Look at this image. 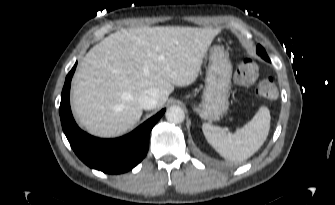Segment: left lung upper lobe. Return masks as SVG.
I'll list each match as a JSON object with an SVG mask.
<instances>
[{
  "instance_id": "left-lung-upper-lobe-1",
  "label": "left lung upper lobe",
  "mask_w": 335,
  "mask_h": 205,
  "mask_svg": "<svg viewBox=\"0 0 335 205\" xmlns=\"http://www.w3.org/2000/svg\"><path fill=\"white\" fill-rule=\"evenodd\" d=\"M256 50H257V54L261 56L264 60L270 61L265 49L261 45H258Z\"/></svg>"
}]
</instances>
